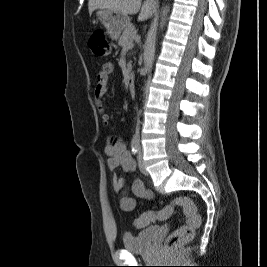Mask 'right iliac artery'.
<instances>
[{
	"label": "right iliac artery",
	"mask_w": 267,
	"mask_h": 267,
	"mask_svg": "<svg viewBox=\"0 0 267 267\" xmlns=\"http://www.w3.org/2000/svg\"><path fill=\"white\" fill-rule=\"evenodd\" d=\"M139 148H138V142L136 140H133L131 142V151H132V154L136 155L137 152H138Z\"/></svg>",
	"instance_id": "1"
}]
</instances>
